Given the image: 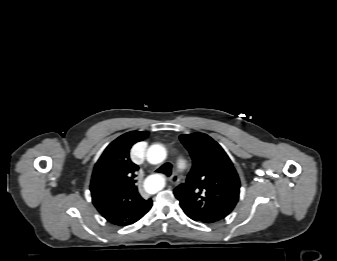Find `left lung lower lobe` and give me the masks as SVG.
<instances>
[{"instance_id": "obj_1", "label": "left lung lower lobe", "mask_w": 337, "mask_h": 261, "mask_svg": "<svg viewBox=\"0 0 337 261\" xmlns=\"http://www.w3.org/2000/svg\"><path fill=\"white\" fill-rule=\"evenodd\" d=\"M190 217V216H189ZM191 219H193V220H195L194 218H192V217H190ZM195 221H197V220H195Z\"/></svg>"}]
</instances>
